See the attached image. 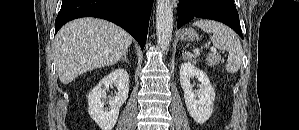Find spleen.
Listing matches in <instances>:
<instances>
[{"mask_svg":"<svg viewBox=\"0 0 299 130\" xmlns=\"http://www.w3.org/2000/svg\"><path fill=\"white\" fill-rule=\"evenodd\" d=\"M192 25L212 34L210 40L213 45L229 53L225 69L229 73H236L242 64L243 48L235 32L224 24L212 20H197ZM193 52L196 57L200 55V50L197 48Z\"/></svg>","mask_w":299,"mask_h":130,"instance_id":"3e777b00","label":"spleen"}]
</instances>
